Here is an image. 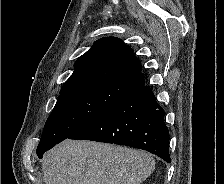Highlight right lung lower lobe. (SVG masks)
<instances>
[{"mask_svg": "<svg viewBox=\"0 0 224 184\" xmlns=\"http://www.w3.org/2000/svg\"><path fill=\"white\" fill-rule=\"evenodd\" d=\"M68 139L126 145L171 162L164 111L151 89L144 84L131 89L96 120ZM43 154L38 157L42 158Z\"/></svg>", "mask_w": 224, "mask_h": 184, "instance_id": "98d812e1", "label": "right lung lower lobe"}]
</instances>
